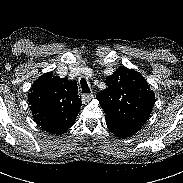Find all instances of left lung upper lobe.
<instances>
[{
  "label": "left lung upper lobe",
  "instance_id": "obj_1",
  "mask_svg": "<svg viewBox=\"0 0 183 183\" xmlns=\"http://www.w3.org/2000/svg\"><path fill=\"white\" fill-rule=\"evenodd\" d=\"M107 88L97 93L106 121L141 128L148 120L155 95L139 72L119 67L106 78Z\"/></svg>",
  "mask_w": 183,
  "mask_h": 183
}]
</instances>
